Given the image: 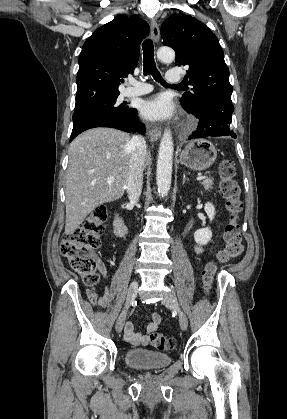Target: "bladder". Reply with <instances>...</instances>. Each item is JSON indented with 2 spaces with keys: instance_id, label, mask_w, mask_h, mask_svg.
Here are the masks:
<instances>
[{
  "instance_id": "1",
  "label": "bladder",
  "mask_w": 287,
  "mask_h": 419,
  "mask_svg": "<svg viewBox=\"0 0 287 419\" xmlns=\"http://www.w3.org/2000/svg\"><path fill=\"white\" fill-rule=\"evenodd\" d=\"M167 354L145 348H130L124 353V361L130 367L142 370H159L171 362Z\"/></svg>"
}]
</instances>
